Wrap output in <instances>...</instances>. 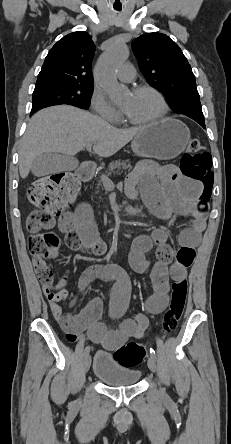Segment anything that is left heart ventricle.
Here are the masks:
<instances>
[{"label":"left heart ventricle","mask_w":231,"mask_h":444,"mask_svg":"<svg viewBox=\"0 0 231 444\" xmlns=\"http://www.w3.org/2000/svg\"><path fill=\"white\" fill-rule=\"evenodd\" d=\"M121 106L124 113L136 121L154 118L162 110L160 100L151 92L129 93L124 97Z\"/></svg>","instance_id":"b2bd125f"}]
</instances>
